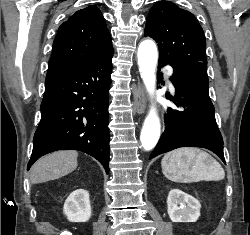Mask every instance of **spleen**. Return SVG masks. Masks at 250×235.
<instances>
[{"label": "spleen", "mask_w": 250, "mask_h": 235, "mask_svg": "<svg viewBox=\"0 0 250 235\" xmlns=\"http://www.w3.org/2000/svg\"><path fill=\"white\" fill-rule=\"evenodd\" d=\"M162 172L173 182L220 181L225 177L222 166L207 152L197 148H179L167 153L161 162Z\"/></svg>", "instance_id": "1"}]
</instances>
